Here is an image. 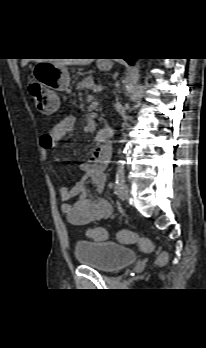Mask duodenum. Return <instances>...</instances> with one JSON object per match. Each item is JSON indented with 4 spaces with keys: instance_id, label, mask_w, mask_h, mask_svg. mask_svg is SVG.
Wrapping results in <instances>:
<instances>
[{
    "instance_id": "obj_1",
    "label": "duodenum",
    "mask_w": 206,
    "mask_h": 348,
    "mask_svg": "<svg viewBox=\"0 0 206 348\" xmlns=\"http://www.w3.org/2000/svg\"><path fill=\"white\" fill-rule=\"evenodd\" d=\"M113 128L112 127H105L100 130H98L94 136V139L96 142H98L101 146L108 147L107 145L108 141L110 140L112 134H113Z\"/></svg>"
}]
</instances>
